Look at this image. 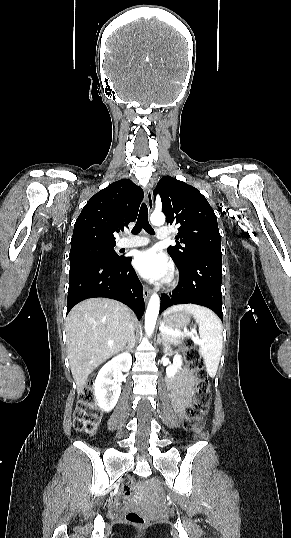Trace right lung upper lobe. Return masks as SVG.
Masks as SVG:
<instances>
[{
	"label": "right lung upper lobe",
	"mask_w": 291,
	"mask_h": 538,
	"mask_svg": "<svg viewBox=\"0 0 291 538\" xmlns=\"http://www.w3.org/2000/svg\"><path fill=\"white\" fill-rule=\"evenodd\" d=\"M143 195V190L129 179L114 182L96 193L75 222L71 249L116 245L113 233L136 220Z\"/></svg>",
	"instance_id": "obj_1"
}]
</instances>
